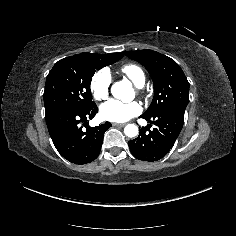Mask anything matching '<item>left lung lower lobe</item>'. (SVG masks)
<instances>
[{"label": "left lung lower lobe", "mask_w": 236, "mask_h": 236, "mask_svg": "<svg viewBox=\"0 0 236 236\" xmlns=\"http://www.w3.org/2000/svg\"><path fill=\"white\" fill-rule=\"evenodd\" d=\"M186 106L173 105L155 115L143 116L156 128L143 127L139 136L128 142L131 153L139 160L154 162L163 158L174 145L184 123Z\"/></svg>", "instance_id": "left-lung-lower-lobe-1"}]
</instances>
